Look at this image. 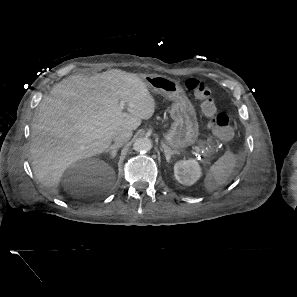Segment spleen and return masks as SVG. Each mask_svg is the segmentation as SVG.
<instances>
[{
	"label": "spleen",
	"mask_w": 297,
	"mask_h": 297,
	"mask_svg": "<svg viewBox=\"0 0 297 297\" xmlns=\"http://www.w3.org/2000/svg\"><path fill=\"white\" fill-rule=\"evenodd\" d=\"M236 161L237 158L227 152L210 167L204 179V187L207 192L215 191L229 180L236 166Z\"/></svg>",
	"instance_id": "obj_1"
}]
</instances>
